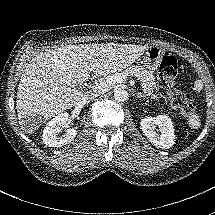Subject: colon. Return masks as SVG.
I'll list each match as a JSON object with an SVG mask.
<instances>
[{"instance_id":"obj_1","label":"colon","mask_w":215,"mask_h":215,"mask_svg":"<svg viewBox=\"0 0 215 215\" xmlns=\"http://www.w3.org/2000/svg\"><path fill=\"white\" fill-rule=\"evenodd\" d=\"M178 59L175 56H165L160 64L158 71V85L166 89L165 96L170 106L179 110L184 115H191L194 110L193 101L184 93L172 89L173 81L178 75Z\"/></svg>"}]
</instances>
